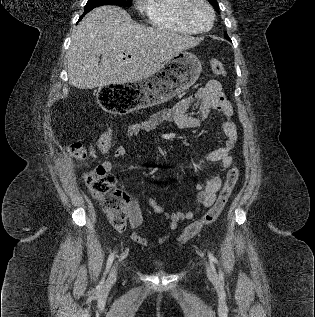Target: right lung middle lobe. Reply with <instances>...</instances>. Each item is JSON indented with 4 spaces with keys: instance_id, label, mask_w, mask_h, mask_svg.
<instances>
[{
    "instance_id": "dd1d6c3e",
    "label": "right lung middle lobe",
    "mask_w": 315,
    "mask_h": 317,
    "mask_svg": "<svg viewBox=\"0 0 315 317\" xmlns=\"http://www.w3.org/2000/svg\"><path fill=\"white\" fill-rule=\"evenodd\" d=\"M102 5H118V6H125L131 7L132 0H88L87 4L84 7V14L88 13L95 7L102 6Z\"/></svg>"
}]
</instances>
